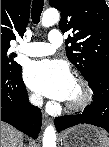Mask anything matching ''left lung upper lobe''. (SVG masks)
<instances>
[{
	"label": "left lung upper lobe",
	"mask_w": 109,
	"mask_h": 147,
	"mask_svg": "<svg viewBox=\"0 0 109 147\" xmlns=\"http://www.w3.org/2000/svg\"><path fill=\"white\" fill-rule=\"evenodd\" d=\"M61 11L62 33L72 31L66 40L68 59L88 81L100 68L109 69V7L105 0H49Z\"/></svg>",
	"instance_id": "obj_1"
}]
</instances>
